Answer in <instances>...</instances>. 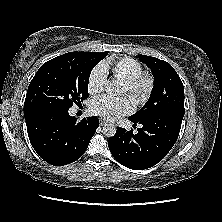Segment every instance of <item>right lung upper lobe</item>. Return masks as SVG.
Segmentation results:
<instances>
[{"label": "right lung upper lobe", "instance_id": "right-lung-upper-lobe-1", "mask_svg": "<svg viewBox=\"0 0 222 222\" xmlns=\"http://www.w3.org/2000/svg\"><path fill=\"white\" fill-rule=\"evenodd\" d=\"M29 113H24L25 117L28 115Z\"/></svg>", "mask_w": 222, "mask_h": 222}]
</instances>
